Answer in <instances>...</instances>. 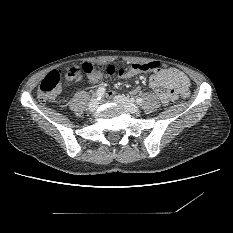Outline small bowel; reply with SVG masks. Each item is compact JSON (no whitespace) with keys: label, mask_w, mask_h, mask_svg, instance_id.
Segmentation results:
<instances>
[{"label":"small bowel","mask_w":233,"mask_h":233,"mask_svg":"<svg viewBox=\"0 0 233 233\" xmlns=\"http://www.w3.org/2000/svg\"><path fill=\"white\" fill-rule=\"evenodd\" d=\"M141 73H130L122 77L130 78ZM97 77L90 79L91 82H96ZM149 86L154 90L162 104H168L178 98V93L181 89L189 87V82L186 75L174 68H162L159 72L152 74L149 77Z\"/></svg>","instance_id":"c3829d8e"}]
</instances>
